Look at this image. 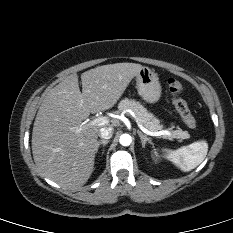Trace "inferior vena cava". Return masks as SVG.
Masks as SVG:
<instances>
[{"label":"inferior vena cava","instance_id":"1","mask_svg":"<svg viewBox=\"0 0 233 233\" xmlns=\"http://www.w3.org/2000/svg\"><path fill=\"white\" fill-rule=\"evenodd\" d=\"M113 135L112 127H103L99 130V137L103 139H110Z\"/></svg>","mask_w":233,"mask_h":233}]
</instances>
